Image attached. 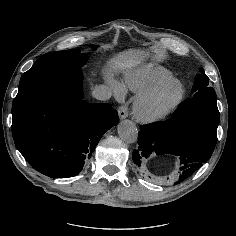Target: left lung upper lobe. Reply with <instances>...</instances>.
<instances>
[{
  "label": "left lung upper lobe",
  "instance_id": "obj_1",
  "mask_svg": "<svg viewBox=\"0 0 236 236\" xmlns=\"http://www.w3.org/2000/svg\"><path fill=\"white\" fill-rule=\"evenodd\" d=\"M201 74L196 75L195 85L192 89V98L194 97H205L212 100H216V93L213 88L208 86L209 78L205 74L204 70L200 69Z\"/></svg>",
  "mask_w": 236,
  "mask_h": 236
}]
</instances>
